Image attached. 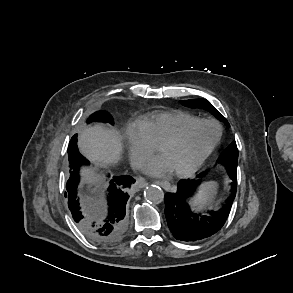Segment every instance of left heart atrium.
<instances>
[{"instance_id": "1", "label": "left heart atrium", "mask_w": 293, "mask_h": 293, "mask_svg": "<svg viewBox=\"0 0 293 293\" xmlns=\"http://www.w3.org/2000/svg\"><path fill=\"white\" fill-rule=\"evenodd\" d=\"M144 171L153 176H165L173 170L168 161L163 156H159L147 161L144 165Z\"/></svg>"}]
</instances>
